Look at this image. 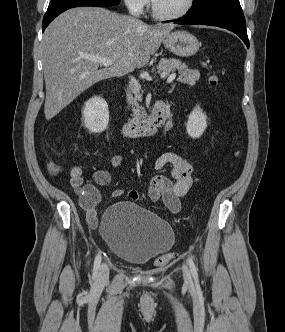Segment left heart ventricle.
Segmentation results:
<instances>
[{"mask_svg": "<svg viewBox=\"0 0 285 332\" xmlns=\"http://www.w3.org/2000/svg\"><path fill=\"white\" fill-rule=\"evenodd\" d=\"M188 0H153L156 10L162 14H175L180 12Z\"/></svg>", "mask_w": 285, "mask_h": 332, "instance_id": "b2bd125f", "label": "left heart ventricle"}]
</instances>
